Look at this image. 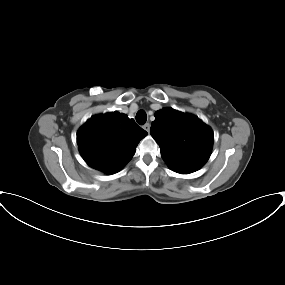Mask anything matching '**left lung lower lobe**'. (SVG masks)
<instances>
[{
  "label": "left lung lower lobe",
  "instance_id": "obj_1",
  "mask_svg": "<svg viewBox=\"0 0 285 285\" xmlns=\"http://www.w3.org/2000/svg\"><path fill=\"white\" fill-rule=\"evenodd\" d=\"M177 173H181V174H188V173H191V172H183V171H175Z\"/></svg>",
  "mask_w": 285,
  "mask_h": 285
}]
</instances>
